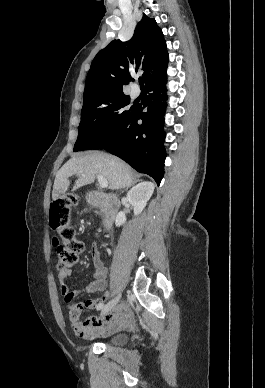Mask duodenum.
Here are the masks:
<instances>
[{"label": "duodenum", "instance_id": "duodenum-1", "mask_svg": "<svg viewBox=\"0 0 265 388\" xmlns=\"http://www.w3.org/2000/svg\"><path fill=\"white\" fill-rule=\"evenodd\" d=\"M88 201L94 206H99L103 210L102 224L105 229H109L117 216L120 208L119 199L111 194L92 192L88 195Z\"/></svg>", "mask_w": 265, "mask_h": 388}]
</instances>
